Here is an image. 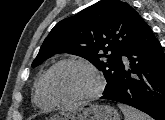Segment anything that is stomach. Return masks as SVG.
I'll return each instance as SVG.
<instances>
[{
  "instance_id": "0dacf381",
  "label": "stomach",
  "mask_w": 165,
  "mask_h": 120,
  "mask_svg": "<svg viewBox=\"0 0 165 120\" xmlns=\"http://www.w3.org/2000/svg\"><path fill=\"white\" fill-rule=\"evenodd\" d=\"M51 120H120V117L111 106L80 103L53 115Z\"/></svg>"
}]
</instances>
